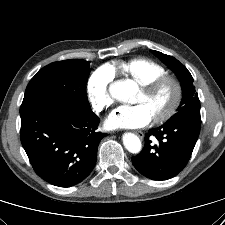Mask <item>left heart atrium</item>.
Wrapping results in <instances>:
<instances>
[{"label":"left heart atrium","instance_id":"obj_1","mask_svg":"<svg viewBox=\"0 0 225 225\" xmlns=\"http://www.w3.org/2000/svg\"><path fill=\"white\" fill-rule=\"evenodd\" d=\"M154 115L145 103L136 105H123L115 109L107 118L109 128H140L146 126Z\"/></svg>","mask_w":225,"mask_h":225}]
</instances>
